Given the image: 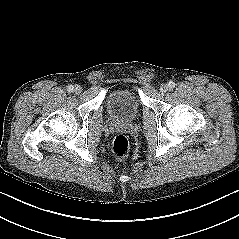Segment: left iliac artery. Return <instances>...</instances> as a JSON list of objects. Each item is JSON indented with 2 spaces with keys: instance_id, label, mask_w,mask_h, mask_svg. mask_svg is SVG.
Here are the masks:
<instances>
[{
  "instance_id": "1",
  "label": "left iliac artery",
  "mask_w": 239,
  "mask_h": 239,
  "mask_svg": "<svg viewBox=\"0 0 239 239\" xmlns=\"http://www.w3.org/2000/svg\"><path fill=\"white\" fill-rule=\"evenodd\" d=\"M175 87V83L173 81L168 82V88L173 89Z\"/></svg>"
}]
</instances>
